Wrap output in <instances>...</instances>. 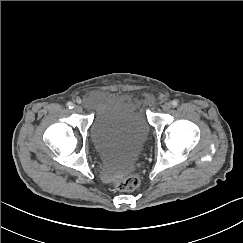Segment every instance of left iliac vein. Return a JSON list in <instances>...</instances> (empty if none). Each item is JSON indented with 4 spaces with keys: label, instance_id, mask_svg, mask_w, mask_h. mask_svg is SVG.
<instances>
[{
    "label": "left iliac vein",
    "instance_id": "left-iliac-vein-1",
    "mask_svg": "<svg viewBox=\"0 0 243 243\" xmlns=\"http://www.w3.org/2000/svg\"><path fill=\"white\" fill-rule=\"evenodd\" d=\"M162 109L164 111H169L171 109V104L170 103H165L163 106H162Z\"/></svg>",
    "mask_w": 243,
    "mask_h": 243
}]
</instances>
